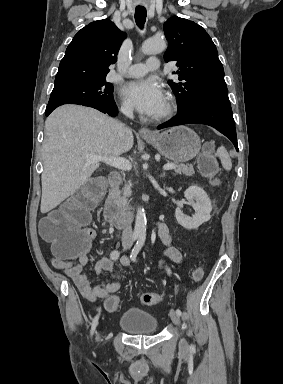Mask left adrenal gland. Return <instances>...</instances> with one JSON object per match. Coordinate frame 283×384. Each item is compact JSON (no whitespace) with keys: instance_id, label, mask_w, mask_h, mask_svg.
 <instances>
[{"instance_id":"a2214340","label":"left adrenal gland","mask_w":283,"mask_h":384,"mask_svg":"<svg viewBox=\"0 0 283 384\" xmlns=\"http://www.w3.org/2000/svg\"><path fill=\"white\" fill-rule=\"evenodd\" d=\"M160 178H165V172L164 174H161Z\"/></svg>"}]
</instances>
